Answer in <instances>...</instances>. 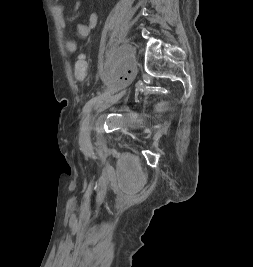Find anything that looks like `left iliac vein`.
Instances as JSON below:
<instances>
[{"label":"left iliac vein","instance_id":"1","mask_svg":"<svg viewBox=\"0 0 253 267\" xmlns=\"http://www.w3.org/2000/svg\"><path fill=\"white\" fill-rule=\"evenodd\" d=\"M126 93V89L120 91L119 93L117 94H113V93H109V94H106L104 97H103V103L101 105H99L97 108H96V111L97 112H101V111H104L106 110L107 108H109L112 104L116 103L117 101H119ZM89 120L88 119H85L83 122H82V126H81V142L83 144H89L90 143V136H89Z\"/></svg>","mask_w":253,"mask_h":267}]
</instances>
